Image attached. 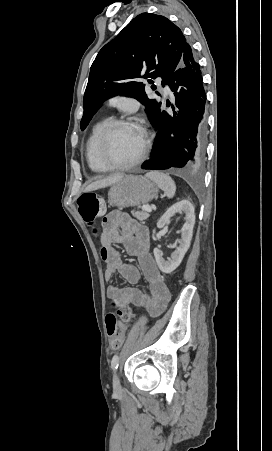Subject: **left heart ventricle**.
Segmentation results:
<instances>
[{"label": "left heart ventricle", "instance_id": "b2bd125f", "mask_svg": "<svg viewBox=\"0 0 272 451\" xmlns=\"http://www.w3.org/2000/svg\"><path fill=\"white\" fill-rule=\"evenodd\" d=\"M139 138L140 134L134 127H113L107 144V163L109 165H119L127 162L132 154L135 143Z\"/></svg>", "mask_w": 272, "mask_h": 451}]
</instances>
